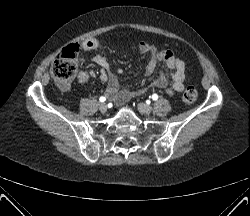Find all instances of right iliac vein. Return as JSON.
Returning a JSON list of instances; mask_svg holds the SVG:
<instances>
[{"label":"right iliac vein","mask_w":250,"mask_h":216,"mask_svg":"<svg viewBox=\"0 0 250 216\" xmlns=\"http://www.w3.org/2000/svg\"><path fill=\"white\" fill-rule=\"evenodd\" d=\"M99 110H100L101 112H106V110H107V105H106V103H101V104L99 105Z\"/></svg>","instance_id":"63e3f726"}]
</instances>
